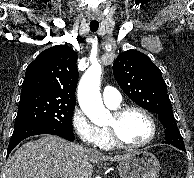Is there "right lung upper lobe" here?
<instances>
[{
	"label": "right lung upper lobe",
	"instance_id": "cb5924a9",
	"mask_svg": "<svg viewBox=\"0 0 194 178\" xmlns=\"http://www.w3.org/2000/svg\"><path fill=\"white\" fill-rule=\"evenodd\" d=\"M77 58V53L67 45L41 52L26 69L20 100L57 97L75 101Z\"/></svg>",
	"mask_w": 194,
	"mask_h": 178
}]
</instances>
